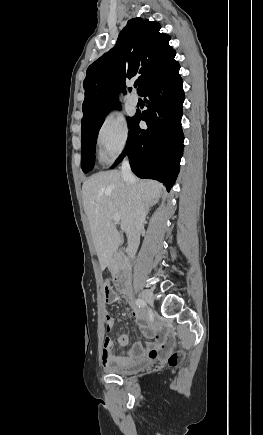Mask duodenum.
<instances>
[{
	"instance_id": "1",
	"label": "duodenum",
	"mask_w": 263,
	"mask_h": 435,
	"mask_svg": "<svg viewBox=\"0 0 263 435\" xmlns=\"http://www.w3.org/2000/svg\"><path fill=\"white\" fill-rule=\"evenodd\" d=\"M116 284L121 292L129 294V268L127 263V255L125 253L118 254V264L116 269Z\"/></svg>"
}]
</instances>
